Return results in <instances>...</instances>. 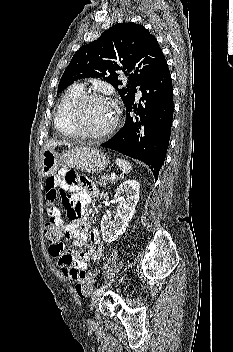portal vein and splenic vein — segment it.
I'll use <instances>...</instances> for the list:
<instances>
[{
  "mask_svg": "<svg viewBox=\"0 0 233 352\" xmlns=\"http://www.w3.org/2000/svg\"><path fill=\"white\" fill-rule=\"evenodd\" d=\"M110 177H111L112 180H115V179H116V175H115V174H111Z\"/></svg>",
  "mask_w": 233,
  "mask_h": 352,
  "instance_id": "portal-vein-and-splenic-vein-1",
  "label": "portal vein and splenic vein"
}]
</instances>
